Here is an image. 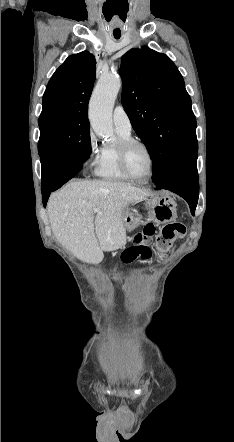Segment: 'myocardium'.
Listing matches in <instances>:
<instances>
[{
    "mask_svg": "<svg viewBox=\"0 0 234 442\" xmlns=\"http://www.w3.org/2000/svg\"><path fill=\"white\" fill-rule=\"evenodd\" d=\"M133 146H140V147H142L146 151V153L148 155L149 162H150V172H149V175L147 176V178H145V179H138V178H136L129 170L127 158H128L129 150ZM118 161H119L120 169L123 172V174L129 180H132V181H134L136 183L146 184V183H148L152 179V177L154 175L155 160H154L153 153H152L150 147L146 143L141 141V140L134 139V138H129V139H126V140L122 141L119 144V146H118Z\"/></svg>",
    "mask_w": 234,
    "mask_h": 442,
    "instance_id": "myocardium-1",
    "label": "myocardium"
}]
</instances>
